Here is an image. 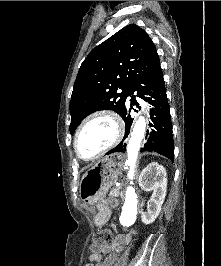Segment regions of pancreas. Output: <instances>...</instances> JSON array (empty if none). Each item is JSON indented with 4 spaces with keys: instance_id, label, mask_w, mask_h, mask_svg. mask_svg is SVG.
<instances>
[{
    "instance_id": "pancreas-1",
    "label": "pancreas",
    "mask_w": 221,
    "mask_h": 266,
    "mask_svg": "<svg viewBox=\"0 0 221 266\" xmlns=\"http://www.w3.org/2000/svg\"><path fill=\"white\" fill-rule=\"evenodd\" d=\"M120 189H121V187L112 188L109 195L111 197H118L121 194Z\"/></svg>"
}]
</instances>
